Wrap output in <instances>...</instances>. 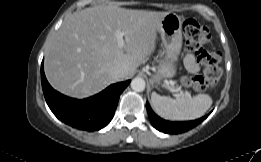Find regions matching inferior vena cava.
<instances>
[{
  "label": "inferior vena cava",
  "mask_w": 261,
  "mask_h": 162,
  "mask_svg": "<svg viewBox=\"0 0 261 162\" xmlns=\"http://www.w3.org/2000/svg\"><path fill=\"white\" fill-rule=\"evenodd\" d=\"M126 67L125 66H117L113 69V75L117 78H121L126 74Z\"/></svg>",
  "instance_id": "1"
}]
</instances>
